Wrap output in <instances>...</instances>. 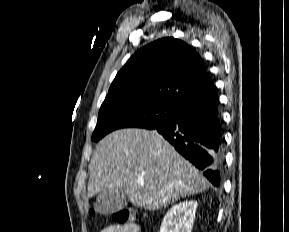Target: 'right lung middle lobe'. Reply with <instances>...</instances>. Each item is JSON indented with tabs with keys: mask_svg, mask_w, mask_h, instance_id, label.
<instances>
[{
	"mask_svg": "<svg viewBox=\"0 0 289 232\" xmlns=\"http://www.w3.org/2000/svg\"><path fill=\"white\" fill-rule=\"evenodd\" d=\"M178 108L146 99L142 96L105 99L98 116L93 141L120 128L155 129L173 120Z\"/></svg>",
	"mask_w": 289,
	"mask_h": 232,
	"instance_id": "dd1d6c3e",
	"label": "right lung middle lobe"
}]
</instances>
